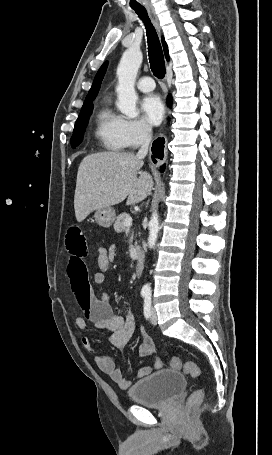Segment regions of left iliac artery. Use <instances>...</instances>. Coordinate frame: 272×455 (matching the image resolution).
<instances>
[{
	"mask_svg": "<svg viewBox=\"0 0 272 455\" xmlns=\"http://www.w3.org/2000/svg\"><path fill=\"white\" fill-rule=\"evenodd\" d=\"M151 309V296L147 294L144 299V316L148 319L150 317Z\"/></svg>",
	"mask_w": 272,
	"mask_h": 455,
	"instance_id": "1",
	"label": "left iliac artery"
}]
</instances>
